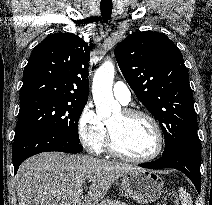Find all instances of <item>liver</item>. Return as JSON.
I'll return each mask as SVG.
<instances>
[{
  "mask_svg": "<svg viewBox=\"0 0 212 205\" xmlns=\"http://www.w3.org/2000/svg\"><path fill=\"white\" fill-rule=\"evenodd\" d=\"M135 169L92 156L40 153L18 169V202L19 205H95L119 177ZM87 181L91 183L89 186ZM83 187L87 195L81 199L77 192Z\"/></svg>",
  "mask_w": 212,
  "mask_h": 205,
  "instance_id": "liver-1",
  "label": "liver"
}]
</instances>
